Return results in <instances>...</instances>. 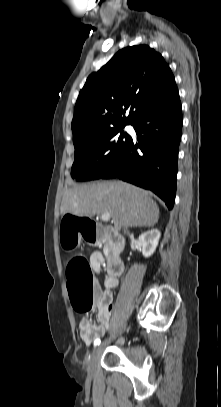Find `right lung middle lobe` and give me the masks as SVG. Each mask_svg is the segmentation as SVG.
Masks as SVG:
<instances>
[{
  "mask_svg": "<svg viewBox=\"0 0 221 407\" xmlns=\"http://www.w3.org/2000/svg\"><path fill=\"white\" fill-rule=\"evenodd\" d=\"M121 125L74 144V163L71 176L78 181L101 178L124 155L131 136Z\"/></svg>",
  "mask_w": 221,
  "mask_h": 407,
  "instance_id": "obj_1",
  "label": "right lung middle lobe"
}]
</instances>
